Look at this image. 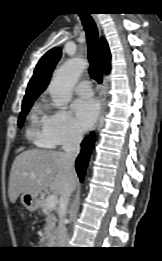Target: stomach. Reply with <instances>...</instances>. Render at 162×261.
Masks as SVG:
<instances>
[{"label":"stomach","instance_id":"stomach-1","mask_svg":"<svg viewBox=\"0 0 162 261\" xmlns=\"http://www.w3.org/2000/svg\"><path fill=\"white\" fill-rule=\"evenodd\" d=\"M21 202L29 211H35L40 207V201L38 197L28 193L22 194Z\"/></svg>","mask_w":162,"mask_h":261}]
</instances>
